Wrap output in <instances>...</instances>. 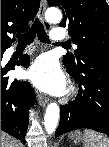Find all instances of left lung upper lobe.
Here are the masks:
<instances>
[{
  "instance_id": "5c2ea615",
  "label": "left lung upper lobe",
  "mask_w": 109,
  "mask_h": 147,
  "mask_svg": "<svg viewBox=\"0 0 109 147\" xmlns=\"http://www.w3.org/2000/svg\"><path fill=\"white\" fill-rule=\"evenodd\" d=\"M63 12L61 27H68L72 41L78 48L75 56L63 58L65 67L75 71L81 65L82 55L100 53L109 56V5L106 0H48Z\"/></svg>"
}]
</instances>
